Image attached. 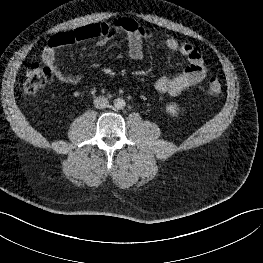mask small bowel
Wrapping results in <instances>:
<instances>
[{"label": "small bowel", "instance_id": "1", "mask_svg": "<svg viewBox=\"0 0 263 263\" xmlns=\"http://www.w3.org/2000/svg\"><path fill=\"white\" fill-rule=\"evenodd\" d=\"M122 34L128 41V54L133 60L143 57L145 42L154 41L155 33L146 27L138 25L127 18L119 19L112 23H96L54 34L45 47L42 60L53 75L62 83L76 85L81 81L80 75L66 73L56 62V50L60 47L80 43L88 39H95L97 45L106 44L111 38ZM162 44L170 51L183 55L188 65L182 73L175 76L160 77L155 83V89L162 94L177 96L186 89L202 82L206 77V69L201 54L187 42H179L174 37H166Z\"/></svg>", "mask_w": 263, "mask_h": 263}]
</instances>
